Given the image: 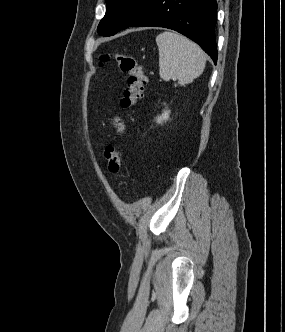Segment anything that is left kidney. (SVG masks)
<instances>
[{
	"label": "left kidney",
	"instance_id": "obj_1",
	"mask_svg": "<svg viewBox=\"0 0 285 332\" xmlns=\"http://www.w3.org/2000/svg\"><path fill=\"white\" fill-rule=\"evenodd\" d=\"M170 111L169 110H164L162 115L158 116L156 118L157 123H162L163 121H167L169 118Z\"/></svg>",
	"mask_w": 285,
	"mask_h": 332
}]
</instances>
